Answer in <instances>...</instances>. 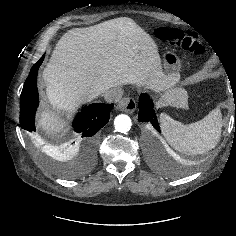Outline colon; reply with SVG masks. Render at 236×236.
I'll list each match as a JSON object with an SVG mask.
<instances>
[{
  "mask_svg": "<svg viewBox=\"0 0 236 236\" xmlns=\"http://www.w3.org/2000/svg\"><path fill=\"white\" fill-rule=\"evenodd\" d=\"M157 37L195 55H202L205 52L203 44L194 35L179 29L158 28Z\"/></svg>",
  "mask_w": 236,
  "mask_h": 236,
  "instance_id": "colon-1",
  "label": "colon"
}]
</instances>
